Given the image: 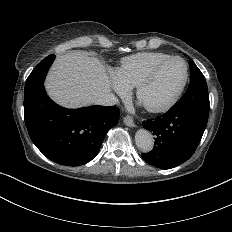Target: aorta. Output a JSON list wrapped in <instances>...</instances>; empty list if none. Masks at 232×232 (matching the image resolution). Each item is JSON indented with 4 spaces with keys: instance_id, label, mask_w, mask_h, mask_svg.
<instances>
[{
    "instance_id": "762f6f07",
    "label": "aorta",
    "mask_w": 232,
    "mask_h": 232,
    "mask_svg": "<svg viewBox=\"0 0 232 232\" xmlns=\"http://www.w3.org/2000/svg\"><path fill=\"white\" fill-rule=\"evenodd\" d=\"M137 147L144 153L153 149L154 139L152 134L146 129H139L135 134Z\"/></svg>"
}]
</instances>
